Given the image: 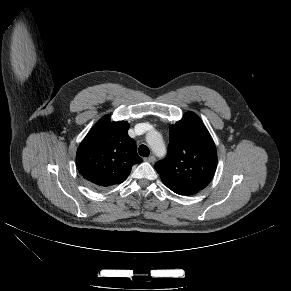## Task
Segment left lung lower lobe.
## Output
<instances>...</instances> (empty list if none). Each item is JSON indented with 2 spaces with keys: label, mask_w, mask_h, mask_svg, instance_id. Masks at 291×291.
I'll use <instances>...</instances> for the list:
<instances>
[{
  "label": "left lung lower lobe",
  "mask_w": 291,
  "mask_h": 291,
  "mask_svg": "<svg viewBox=\"0 0 291 291\" xmlns=\"http://www.w3.org/2000/svg\"><path fill=\"white\" fill-rule=\"evenodd\" d=\"M162 182L173 192L179 194V195H191V194H196L197 192L186 188L180 184L173 183L171 181L167 180H162Z\"/></svg>",
  "instance_id": "left-lung-lower-lobe-1"
}]
</instances>
